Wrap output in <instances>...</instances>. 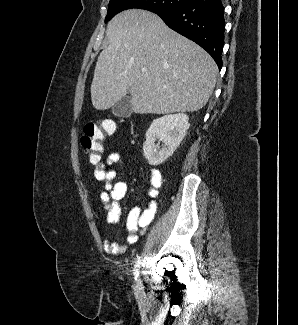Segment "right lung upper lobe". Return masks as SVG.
I'll return each instance as SVG.
<instances>
[{
    "label": "right lung upper lobe",
    "mask_w": 298,
    "mask_h": 325,
    "mask_svg": "<svg viewBox=\"0 0 298 325\" xmlns=\"http://www.w3.org/2000/svg\"><path fill=\"white\" fill-rule=\"evenodd\" d=\"M110 1H111V0H110ZM156 12H157V13H160V12H162V10H157ZM154 13H155V12H154Z\"/></svg>",
    "instance_id": "right-lung-upper-lobe-1"
}]
</instances>
